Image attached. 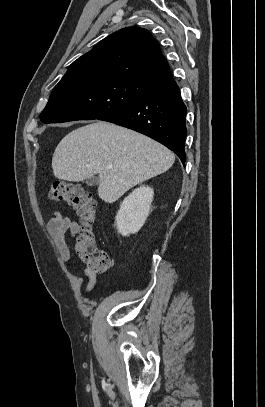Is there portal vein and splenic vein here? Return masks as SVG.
Segmentation results:
<instances>
[{"label": "portal vein and splenic vein", "mask_w": 265, "mask_h": 407, "mask_svg": "<svg viewBox=\"0 0 265 407\" xmlns=\"http://www.w3.org/2000/svg\"><path fill=\"white\" fill-rule=\"evenodd\" d=\"M107 168H108V169H110V168H111V166H108Z\"/></svg>", "instance_id": "portal-vein-and-splenic-vein-1"}]
</instances>
